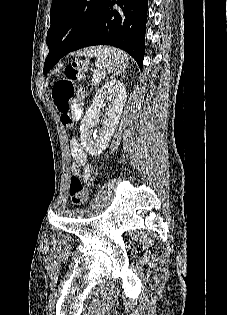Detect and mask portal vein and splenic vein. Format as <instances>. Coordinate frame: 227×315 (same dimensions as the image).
Segmentation results:
<instances>
[{
  "label": "portal vein and splenic vein",
  "instance_id": "obj_1",
  "mask_svg": "<svg viewBox=\"0 0 227 315\" xmlns=\"http://www.w3.org/2000/svg\"><path fill=\"white\" fill-rule=\"evenodd\" d=\"M100 78H101V74L97 71H95L94 75H93V83L96 84V83H99L100 81Z\"/></svg>",
  "mask_w": 227,
  "mask_h": 315
}]
</instances>
